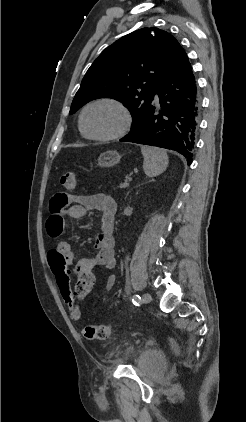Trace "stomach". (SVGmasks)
<instances>
[{
    "label": "stomach",
    "mask_w": 246,
    "mask_h": 422,
    "mask_svg": "<svg viewBox=\"0 0 246 422\" xmlns=\"http://www.w3.org/2000/svg\"><path fill=\"white\" fill-rule=\"evenodd\" d=\"M121 155L117 151H107L98 158V165L101 167H111L119 163Z\"/></svg>",
    "instance_id": "obj_1"
}]
</instances>
